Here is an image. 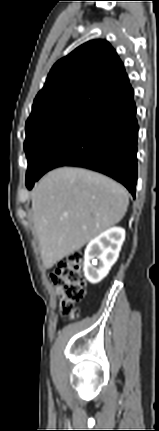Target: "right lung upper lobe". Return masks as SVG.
<instances>
[{"instance_id": "right-lung-upper-lobe-1", "label": "right lung upper lobe", "mask_w": 159, "mask_h": 431, "mask_svg": "<svg viewBox=\"0 0 159 431\" xmlns=\"http://www.w3.org/2000/svg\"><path fill=\"white\" fill-rule=\"evenodd\" d=\"M133 94L113 47L106 40H92L54 64L26 124L55 113L89 117Z\"/></svg>"}]
</instances>
